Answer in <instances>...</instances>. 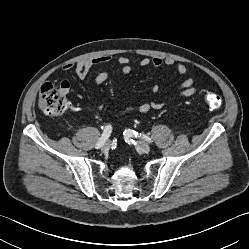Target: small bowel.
<instances>
[{"mask_svg": "<svg viewBox=\"0 0 249 249\" xmlns=\"http://www.w3.org/2000/svg\"><path fill=\"white\" fill-rule=\"evenodd\" d=\"M111 61H116L121 66L118 75H127L137 68H145L149 66L155 68H161L163 66H173L175 67V70L180 77H185V79L177 87L176 92L172 98L167 100L153 99L149 102H144L133 106H126L118 112V116H124L133 112L147 113L152 110H160L166 107L171 101L175 99L188 98L193 96L198 90L197 86L195 85L194 77H186L188 72L186 65L183 62L175 61L171 58L163 59L156 56L152 58L142 57L133 59L122 55H101L94 58L80 60L75 63L65 64L63 66V70H73L79 78L84 79L88 76V74L94 67L106 65ZM110 77L111 73L109 71H101L95 75L93 82L95 85H100L108 81ZM60 89L65 95L68 94L70 91L69 81L63 80L60 83ZM151 91L153 94H158V92L160 91L159 85L154 84L151 88ZM97 108L100 107L97 106Z\"/></svg>", "mask_w": 249, "mask_h": 249, "instance_id": "1", "label": "small bowel"}]
</instances>
